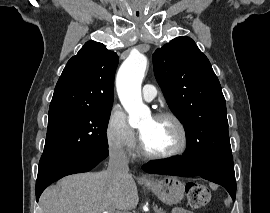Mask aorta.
I'll return each instance as SVG.
<instances>
[{
  "mask_svg": "<svg viewBox=\"0 0 270 213\" xmlns=\"http://www.w3.org/2000/svg\"><path fill=\"white\" fill-rule=\"evenodd\" d=\"M147 67V58L141 53H133L121 65L116 79L119 99L129 114V124L138 126L150 117L149 108L143 104L141 84Z\"/></svg>",
  "mask_w": 270,
  "mask_h": 213,
  "instance_id": "obj_1",
  "label": "aorta"
}]
</instances>
